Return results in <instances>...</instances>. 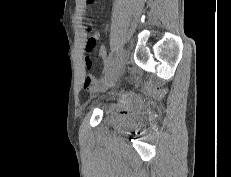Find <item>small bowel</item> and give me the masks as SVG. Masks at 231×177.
<instances>
[{
  "label": "small bowel",
  "instance_id": "small-bowel-1",
  "mask_svg": "<svg viewBox=\"0 0 231 177\" xmlns=\"http://www.w3.org/2000/svg\"><path fill=\"white\" fill-rule=\"evenodd\" d=\"M97 36V34H94ZM100 56L106 58V51L102 48L100 50ZM84 64L86 69H90L92 67V59L90 57H85ZM96 85V79L93 74H87L84 81V86L87 89H92Z\"/></svg>",
  "mask_w": 231,
  "mask_h": 177
}]
</instances>
